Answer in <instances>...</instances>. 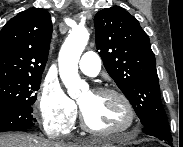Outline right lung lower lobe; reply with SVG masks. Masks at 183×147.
Masks as SVG:
<instances>
[{"label":"right lung lower lobe","mask_w":183,"mask_h":147,"mask_svg":"<svg viewBox=\"0 0 183 147\" xmlns=\"http://www.w3.org/2000/svg\"><path fill=\"white\" fill-rule=\"evenodd\" d=\"M30 105L0 107V132L23 131L35 126Z\"/></svg>","instance_id":"right-lung-lower-lobe-1"}]
</instances>
